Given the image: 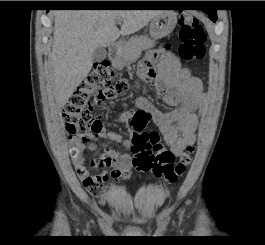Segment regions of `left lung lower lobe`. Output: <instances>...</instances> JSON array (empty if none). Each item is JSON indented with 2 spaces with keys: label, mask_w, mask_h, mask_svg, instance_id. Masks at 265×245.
I'll list each match as a JSON object with an SVG mask.
<instances>
[{
  "label": "left lung lower lobe",
  "mask_w": 265,
  "mask_h": 245,
  "mask_svg": "<svg viewBox=\"0 0 265 245\" xmlns=\"http://www.w3.org/2000/svg\"><path fill=\"white\" fill-rule=\"evenodd\" d=\"M204 11L209 15L210 20H212L213 22L216 21V19H217L216 10L208 9V10H204ZM213 17H216V19H214Z\"/></svg>",
  "instance_id": "0a47b994"
}]
</instances>
